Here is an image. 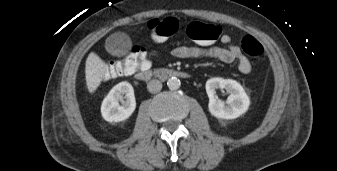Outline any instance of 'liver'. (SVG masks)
<instances>
[{
	"instance_id": "obj_1",
	"label": "liver",
	"mask_w": 337,
	"mask_h": 171,
	"mask_svg": "<svg viewBox=\"0 0 337 171\" xmlns=\"http://www.w3.org/2000/svg\"><path fill=\"white\" fill-rule=\"evenodd\" d=\"M106 72L105 62L94 52L86 60L85 74L88 91L93 93L99 87Z\"/></svg>"
}]
</instances>
